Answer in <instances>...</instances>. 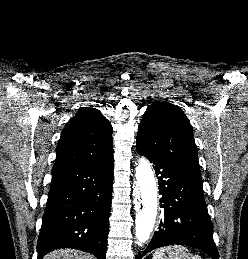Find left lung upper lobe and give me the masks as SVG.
Masks as SVG:
<instances>
[{
    "label": "left lung upper lobe",
    "mask_w": 248,
    "mask_h": 259,
    "mask_svg": "<svg viewBox=\"0 0 248 259\" xmlns=\"http://www.w3.org/2000/svg\"><path fill=\"white\" fill-rule=\"evenodd\" d=\"M136 144L166 159L190 180L202 183L192 127L183 111L167 102L149 105Z\"/></svg>",
    "instance_id": "left-lung-upper-lobe-1"
}]
</instances>
